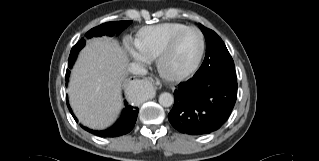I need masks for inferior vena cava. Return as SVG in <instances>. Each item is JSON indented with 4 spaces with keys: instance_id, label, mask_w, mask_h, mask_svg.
<instances>
[{
    "instance_id": "1",
    "label": "inferior vena cava",
    "mask_w": 319,
    "mask_h": 161,
    "mask_svg": "<svg viewBox=\"0 0 319 161\" xmlns=\"http://www.w3.org/2000/svg\"><path fill=\"white\" fill-rule=\"evenodd\" d=\"M128 71L135 75H145L147 73V70L140 63L129 64Z\"/></svg>"
}]
</instances>
